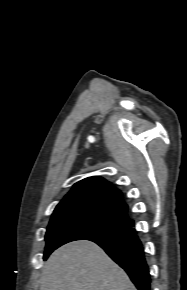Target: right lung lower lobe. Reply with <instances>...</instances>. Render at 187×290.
<instances>
[{
  "label": "right lung lower lobe",
  "instance_id": "1",
  "mask_svg": "<svg viewBox=\"0 0 187 290\" xmlns=\"http://www.w3.org/2000/svg\"><path fill=\"white\" fill-rule=\"evenodd\" d=\"M88 240L101 246L127 272L138 290H150L151 277L142 244L132 226Z\"/></svg>",
  "mask_w": 187,
  "mask_h": 290
}]
</instances>
